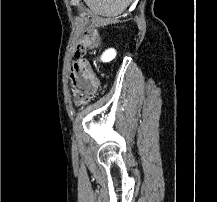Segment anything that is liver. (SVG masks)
Wrapping results in <instances>:
<instances>
[{"instance_id": "liver-1", "label": "liver", "mask_w": 217, "mask_h": 202, "mask_svg": "<svg viewBox=\"0 0 217 202\" xmlns=\"http://www.w3.org/2000/svg\"><path fill=\"white\" fill-rule=\"evenodd\" d=\"M91 12L106 18H117L127 10L132 0H84Z\"/></svg>"}]
</instances>
